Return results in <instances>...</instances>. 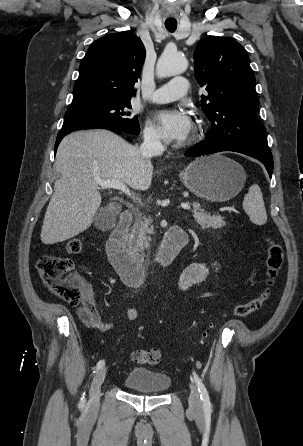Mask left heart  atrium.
I'll return each mask as SVG.
<instances>
[{
  "label": "left heart atrium",
  "instance_id": "left-heart-atrium-1",
  "mask_svg": "<svg viewBox=\"0 0 303 446\" xmlns=\"http://www.w3.org/2000/svg\"><path fill=\"white\" fill-rule=\"evenodd\" d=\"M156 119L163 135L170 140H185L192 130L190 116L180 108L163 110L157 114Z\"/></svg>",
  "mask_w": 303,
  "mask_h": 446
}]
</instances>
